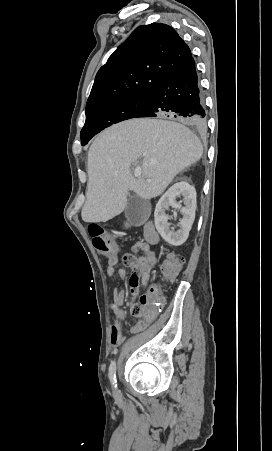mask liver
Masks as SVG:
<instances>
[{"instance_id":"liver-1","label":"liver","mask_w":272,"mask_h":451,"mask_svg":"<svg viewBox=\"0 0 272 451\" xmlns=\"http://www.w3.org/2000/svg\"><path fill=\"white\" fill-rule=\"evenodd\" d=\"M169 120L134 118L98 134L88 152L84 222H107L121 214L129 190L143 200L160 196L181 170L202 158L197 136ZM139 158L142 176L134 178L131 166Z\"/></svg>"}]
</instances>
